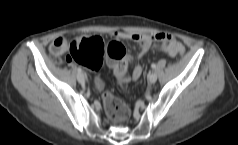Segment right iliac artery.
<instances>
[{"instance_id": "1", "label": "right iliac artery", "mask_w": 238, "mask_h": 145, "mask_svg": "<svg viewBox=\"0 0 238 145\" xmlns=\"http://www.w3.org/2000/svg\"><path fill=\"white\" fill-rule=\"evenodd\" d=\"M77 71H78V73H81V72H82V69H81V68H78Z\"/></svg>"}]
</instances>
